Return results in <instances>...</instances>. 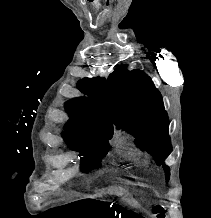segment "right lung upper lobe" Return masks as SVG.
<instances>
[{
	"instance_id": "cb5924a9",
	"label": "right lung upper lobe",
	"mask_w": 211,
	"mask_h": 218,
	"mask_svg": "<svg viewBox=\"0 0 211 218\" xmlns=\"http://www.w3.org/2000/svg\"><path fill=\"white\" fill-rule=\"evenodd\" d=\"M77 88L90 98L80 97L66 103V111L71 116L66 125L112 136L113 127L105 79L84 78L78 82Z\"/></svg>"
}]
</instances>
